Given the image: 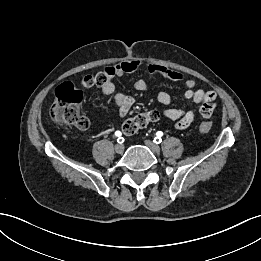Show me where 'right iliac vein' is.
<instances>
[{"label": "right iliac vein", "instance_id": "1", "mask_svg": "<svg viewBox=\"0 0 261 261\" xmlns=\"http://www.w3.org/2000/svg\"><path fill=\"white\" fill-rule=\"evenodd\" d=\"M124 151V145L123 144H116L115 145V152L118 154L123 153Z\"/></svg>", "mask_w": 261, "mask_h": 261}]
</instances>
